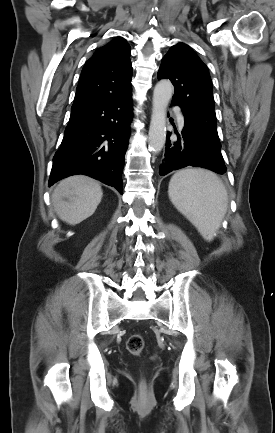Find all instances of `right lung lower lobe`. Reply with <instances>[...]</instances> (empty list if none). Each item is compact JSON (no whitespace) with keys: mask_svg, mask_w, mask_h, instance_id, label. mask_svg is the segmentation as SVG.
<instances>
[{"mask_svg":"<svg viewBox=\"0 0 275 433\" xmlns=\"http://www.w3.org/2000/svg\"><path fill=\"white\" fill-rule=\"evenodd\" d=\"M131 93L99 99L71 111L61 146L53 158L49 185L83 174L122 194V171L130 137Z\"/></svg>","mask_w":275,"mask_h":433,"instance_id":"98d812e1","label":"right lung lower lobe"}]
</instances>
